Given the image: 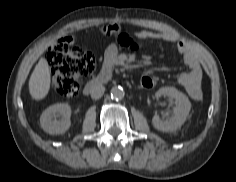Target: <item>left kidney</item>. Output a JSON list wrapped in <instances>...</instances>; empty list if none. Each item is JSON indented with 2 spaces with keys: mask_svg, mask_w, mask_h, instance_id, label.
Here are the masks:
<instances>
[{
  "mask_svg": "<svg viewBox=\"0 0 236 182\" xmlns=\"http://www.w3.org/2000/svg\"><path fill=\"white\" fill-rule=\"evenodd\" d=\"M156 98L167 96L175 100L173 114L161 119L155 114L152 119L153 126L162 132H172L183 125L191 109L188 97L174 87H162L155 93Z\"/></svg>",
  "mask_w": 236,
  "mask_h": 182,
  "instance_id": "1",
  "label": "left kidney"
}]
</instances>
